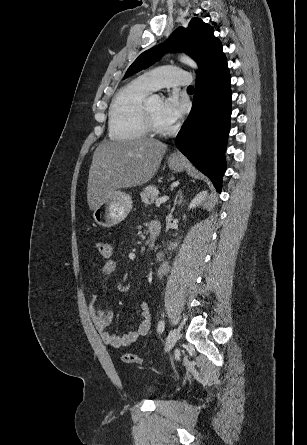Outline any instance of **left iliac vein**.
Returning <instances> with one entry per match:
<instances>
[{
	"instance_id": "1",
	"label": "left iliac vein",
	"mask_w": 307,
	"mask_h": 445,
	"mask_svg": "<svg viewBox=\"0 0 307 445\" xmlns=\"http://www.w3.org/2000/svg\"><path fill=\"white\" fill-rule=\"evenodd\" d=\"M180 338V331L176 328L172 329L167 337L165 344V351H169L174 347L178 339Z\"/></svg>"
}]
</instances>
